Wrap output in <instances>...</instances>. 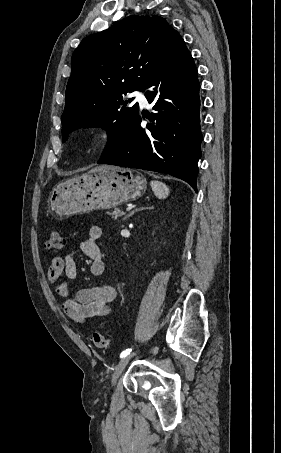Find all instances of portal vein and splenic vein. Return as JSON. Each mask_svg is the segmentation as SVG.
Masks as SVG:
<instances>
[{
	"label": "portal vein and splenic vein",
	"instance_id": "obj_1",
	"mask_svg": "<svg viewBox=\"0 0 281 453\" xmlns=\"http://www.w3.org/2000/svg\"><path fill=\"white\" fill-rule=\"evenodd\" d=\"M132 208H134V205H131L130 207H127V212H132Z\"/></svg>",
	"mask_w": 281,
	"mask_h": 453
}]
</instances>
